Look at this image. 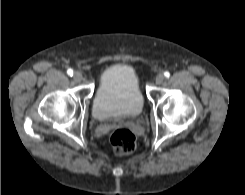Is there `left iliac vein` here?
Segmentation results:
<instances>
[{
  "mask_svg": "<svg viewBox=\"0 0 245 195\" xmlns=\"http://www.w3.org/2000/svg\"><path fill=\"white\" fill-rule=\"evenodd\" d=\"M164 80H165V76L163 74H159L157 75L155 82L156 84L160 85L164 82Z\"/></svg>",
  "mask_w": 245,
  "mask_h": 195,
  "instance_id": "obj_1",
  "label": "left iliac vein"
}]
</instances>
